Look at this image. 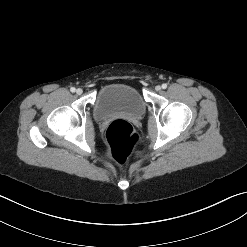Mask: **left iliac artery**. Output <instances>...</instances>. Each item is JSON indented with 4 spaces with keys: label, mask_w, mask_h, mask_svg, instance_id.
<instances>
[{
    "label": "left iliac artery",
    "mask_w": 247,
    "mask_h": 247,
    "mask_svg": "<svg viewBox=\"0 0 247 247\" xmlns=\"http://www.w3.org/2000/svg\"><path fill=\"white\" fill-rule=\"evenodd\" d=\"M162 88H163V89H166V88H167V84H165V83L162 84Z\"/></svg>",
    "instance_id": "44dca946"
}]
</instances>
